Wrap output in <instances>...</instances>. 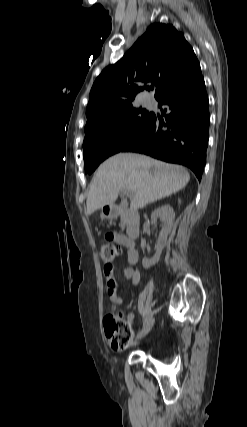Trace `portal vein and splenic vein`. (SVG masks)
Listing matches in <instances>:
<instances>
[{
  "instance_id": "obj_1",
  "label": "portal vein and splenic vein",
  "mask_w": 247,
  "mask_h": 427,
  "mask_svg": "<svg viewBox=\"0 0 247 427\" xmlns=\"http://www.w3.org/2000/svg\"><path fill=\"white\" fill-rule=\"evenodd\" d=\"M124 194H126L127 196H131L132 193L130 191H123Z\"/></svg>"
}]
</instances>
